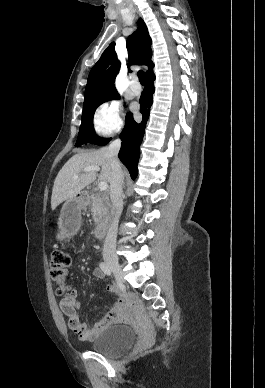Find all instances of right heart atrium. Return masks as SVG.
Here are the masks:
<instances>
[{
    "label": "right heart atrium",
    "mask_w": 265,
    "mask_h": 388,
    "mask_svg": "<svg viewBox=\"0 0 265 388\" xmlns=\"http://www.w3.org/2000/svg\"><path fill=\"white\" fill-rule=\"evenodd\" d=\"M120 105L117 102L102 105L96 114V125L99 132L106 134L110 132L114 123L119 121Z\"/></svg>",
    "instance_id": "right-heart-atrium-1"
}]
</instances>
